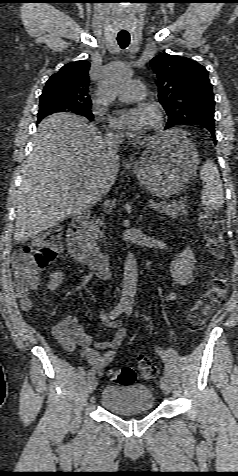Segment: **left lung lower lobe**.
Here are the masks:
<instances>
[{
  "mask_svg": "<svg viewBox=\"0 0 238 476\" xmlns=\"http://www.w3.org/2000/svg\"><path fill=\"white\" fill-rule=\"evenodd\" d=\"M198 125H201L203 127H205L206 129H208L211 134H212V139L214 141V143L216 144L217 140H216V137H215V126H214V122H210V121H205V122H199L197 123Z\"/></svg>",
  "mask_w": 238,
  "mask_h": 476,
  "instance_id": "obj_1",
  "label": "left lung lower lobe"
}]
</instances>
